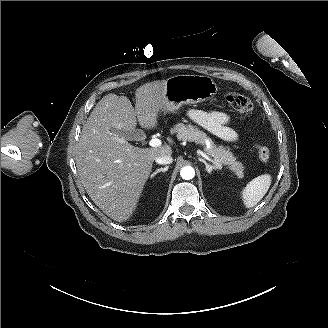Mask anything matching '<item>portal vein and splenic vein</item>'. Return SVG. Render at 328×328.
Wrapping results in <instances>:
<instances>
[{
	"instance_id": "1",
	"label": "portal vein and splenic vein",
	"mask_w": 328,
	"mask_h": 328,
	"mask_svg": "<svg viewBox=\"0 0 328 328\" xmlns=\"http://www.w3.org/2000/svg\"><path fill=\"white\" fill-rule=\"evenodd\" d=\"M149 146L150 147H158V146H160V144H161V141L158 139V138H151L150 140H149ZM208 149V148H207ZM197 151L199 152V154H201L203 157H205L206 159H208V161H211V158H209V155L208 154H206L205 152H203L200 148H197ZM214 165H216V166H219L220 164L217 162V161H215V160H212L211 161Z\"/></svg>"
}]
</instances>
